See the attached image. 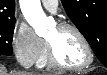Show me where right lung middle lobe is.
<instances>
[{
  "label": "right lung middle lobe",
  "mask_w": 107,
  "mask_h": 75,
  "mask_svg": "<svg viewBox=\"0 0 107 75\" xmlns=\"http://www.w3.org/2000/svg\"><path fill=\"white\" fill-rule=\"evenodd\" d=\"M15 27V19L0 21V55L12 54V38Z\"/></svg>",
  "instance_id": "dd1d6c3e"
}]
</instances>
